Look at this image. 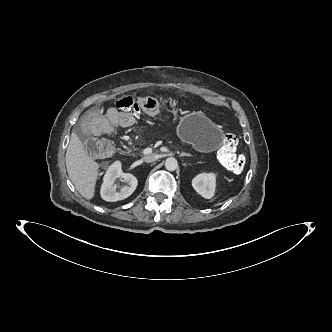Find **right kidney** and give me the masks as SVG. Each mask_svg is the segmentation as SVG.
<instances>
[{
	"label": "right kidney",
	"instance_id": "ca27d5eb",
	"mask_svg": "<svg viewBox=\"0 0 332 332\" xmlns=\"http://www.w3.org/2000/svg\"><path fill=\"white\" fill-rule=\"evenodd\" d=\"M117 178H120L121 181L128 184L122 187L119 192L116 191L115 181ZM137 185V178L130 173H123L121 162L115 161L108 167V170L105 173L103 184L101 186V197L108 202L124 200L135 191Z\"/></svg>",
	"mask_w": 332,
	"mask_h": 332
}]
</instances>
